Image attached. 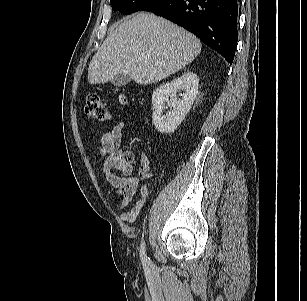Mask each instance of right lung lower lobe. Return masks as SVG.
Masks as SVG:
<instances>
[{
	"instance_id": "98d812e1",
	"label": "right lung lower lobe",
	"mask_w": 307,
	"mask_h": 301,
	"mask_svg": "<svg viewBox=\"0 0 307 301\" xmlns=\"http://www.w3.org/2000/svg\"><path fill=\"white\" fill-rule=\"evenodd\" d=\"M141 11L184 27L233 62L238 40L237 0H156Z\"/></svg>"
}]
</instances>
